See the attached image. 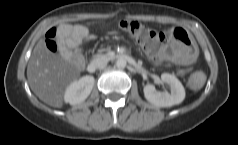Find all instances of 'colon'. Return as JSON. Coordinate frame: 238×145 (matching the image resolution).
Masks as SVG:
<instances>
[{"mask_svg": "<svg viewBox=\"0 0 238 145\" xmlns=\"http://www.w3.org/2000/svg\"><path fill=\"white\" fill-rule=\"evenodd\" d=\"M119 28L136 38L144 51L153 59H160L165 35L161 31L152 29L137 21L123 20L118 24ZM56 31L51 29L46 34V46L50 51H56L57 43L55 40ZM205 81L202 73H195L189 79V86L192 89H200Z\"/></svg>", "mask_w": 238, "mask_h": 145, "instance_id": "obj_1", "label": "colon"}]
</instances>
